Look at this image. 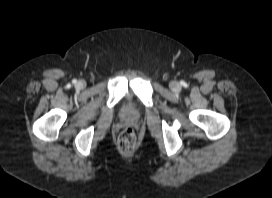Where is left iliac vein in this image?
Here are the masks:
<instances>
[{
    "label": "left iliac vein",
    "instance_id": "obj_1",
    "mask_svg": "<svg viewBox=\"0 0 272 198\" xmlns=\"http://www.w3.org/2000/svg\"><path fill=\"white\" fill-rule=\"evenodd\" d=\"M170 87H171V89H173V90H175V91L180 90V85H179V83L176 82V81L171 82V83H170Z\"/></svg>",
    "mask_w": 272,
    "mask_h": 198
}]
</instances>
